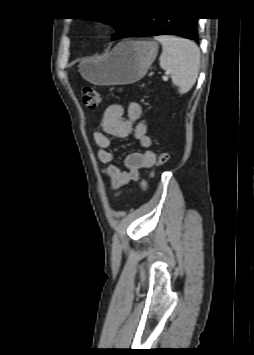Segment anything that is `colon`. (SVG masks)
<instances>
[{"label": "colon", "instance_id": "colon-1", "mask_svg": "<svg viewBox=\"0 0 254 355\" xmlns=\"http://www.w3.org/2000/svg\"><path fill=\"white\" fill-rule=\"evenodd\" d=\"M83 102L88 108H96L104 103L103 96L93 88L86 87L83 89ZM169 155L166 152H162L157 157L155 168L152 170L150 177L152 178L155 174V170L164 166L168 161ZM141 189L145 191L148 187V182L142 180L140 183Z\"/></svg>", "mask_w": 254, "mask_h": 355}]
</instances>
